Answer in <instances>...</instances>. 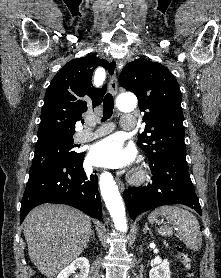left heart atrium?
<instances>
[{
  "label": "left heart atrium",
  "mask_w": 221,
  "mask_h": 278,
  "mask_svg": "<svg viewBox=\"0 0 221 278\" xmlns=\"http://www.w3.org/2000/svg\"><path fill=\"white\" fill-rule=\"evenodd\" d=\"M131 158L132 151L124 149L117 136H110L97 142L89 153L90 162L98 166L121 167Z\"/></svg>",
  "instance_id": "obj_1"
}]
</instances>
